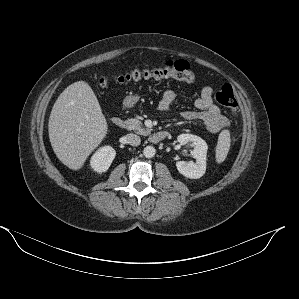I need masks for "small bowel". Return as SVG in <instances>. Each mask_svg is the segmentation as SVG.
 Masks as SVG:
<instances>
[{
	"instance_id": "1",
	"label": "small bowel",
	"mask_w": 299,
	"mask_h": 299,
	"mask_svg": "<svg viewBox=\"0 0 299 299\" xmlns=\"http://www.w3.org/2000/svg\"><path fill=\"white\" fill-rule=\"evenodd\" d=\"M177 95L173 90L163 92L158 102V108L161 111H167L176 100ZM197 110L184 111L183 118L187 120H199L211 133H218L224 128L229 127V120L221 114L219 107L213 101V89L204 87L195 100Z\"/></svg>"
}]
</instances>
